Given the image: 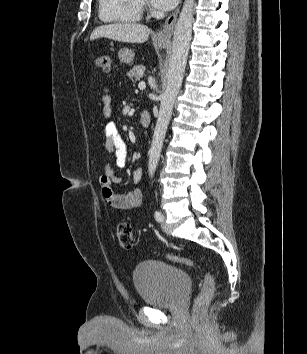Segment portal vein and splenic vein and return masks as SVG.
<instances>
[{
  "instance_id": "18ae733b",
  "label": "portal vein and splenic vein",
  "mask_w": 307,
  "mask_h": 354,
  "mask_svg": "<svg viewBox=\"0 0 307 354\" xmlns=\"http://www.w3.org/2000/svg\"><path fill=\"white\" fill-rule=\"evenodd\" d=\"M145 87H146V84H145L144 81H141V82L138 84V88H139V89H145Z\"/></svg>"
}]
</instances>
